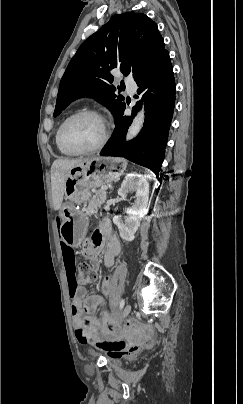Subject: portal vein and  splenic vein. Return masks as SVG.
<instances>
[{"instance_id":"obj_1","label":"portal vein and splenic vein","mask_w":243,"mask_h":404,"mask_svg":"<svg viewBox=\"0 0 243 404\" xmlns=\"http://www.w3.org/2000/svg\"><path fill=\"white\" fill-rule=\"evenodd\" d=\"M108 186H102L101 190H107Z\"/></svg>"}]
</instances>
